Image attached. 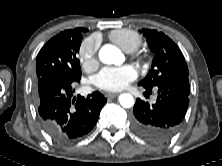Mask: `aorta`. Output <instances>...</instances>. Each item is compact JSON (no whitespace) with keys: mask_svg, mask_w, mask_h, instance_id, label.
I'll return each mask as SVG.
<instances>
[{"mask_svg":"<svg viewBox=\"0 0 222 166\" xmlns=\"http://www.w3.org/2000/svg\"><path fill=\"white\" fill-rule=\"evenodd\" d=\"M99 59L104 64L120 65L124 60V56L117 47L107 44L100 49ZM119 103L124 108H130L134 105V98L129 93H123L119 96Z\"/></svg>","mask_w":222,"mask_h":166,"instance_id":"1","label":"aorta"}]
</instances>
